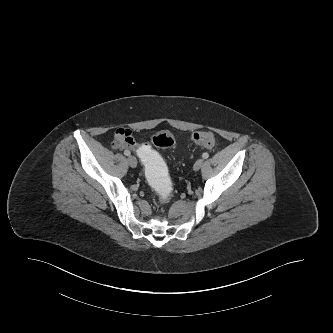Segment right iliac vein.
<instances>
[{
    "label": "right iliac vein",
    "mask_w": 333,
    "mask_h": 333,
    "mask_svg": "<svg viewBox=\"0 0 333 333\" xmlns=\"http://www.w3.org/2000/svg\"><path fill=\"white\" fill-rule=\"evenodd\" d=\"M128 164L132 167L135 168L137 166V159L134 156H129L128 157Z\"/></svg>",
    "instance_id": "1"
}]
</instances>
